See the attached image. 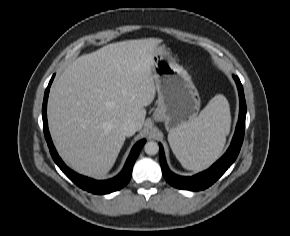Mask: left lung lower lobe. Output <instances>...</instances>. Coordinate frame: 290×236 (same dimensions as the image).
<instances>
[{
	"instance_id": "0a47b994",
	"label": "left lung lower lobe",
	"mask_w": 290,
	"mask_h": 236,
	"mask_svg": "<svg viewBox=\"0 0 290 236\" xmlns=\"http://www.w3.org/2000/svg\"><path fill=\"white\" fill-rule=\"evenodd\" d=\"M234 80L237 84L239 92L240 112L236 130L228 150L208 170L196 174L195 176L192 177H183L178 176L169 170L166 164L163 147L160 144L159 159L162 168V173L164 178L170 185L182 190H190V191H199L206 189L209 186H211L216 180H218L236 160L244 138L246 101L244 97L243 87L239 78L237 76H234Z\"/></svg>"
}]
</instances>
